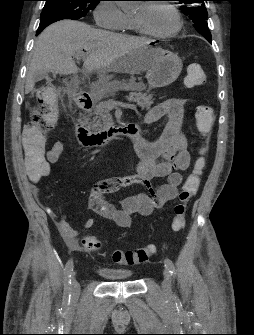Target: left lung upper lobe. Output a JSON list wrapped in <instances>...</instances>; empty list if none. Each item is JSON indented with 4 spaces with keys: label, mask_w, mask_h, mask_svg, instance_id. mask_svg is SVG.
Masks as SVG:
<instances>
[{
    "label": "left lung upper lobe",
    "mask_w": 254,
    "mask_h": 335,
    "mask_svg": "<svg viewBox=\"0 0 254 335\" xmlns=\"http://www.w3.org/2000/svg\"><path fill=\"white\" fill-rule=\"evenodd\" d=\"M184 4L180 7L181 11L193 22L196 30L207 40H211V33L208 28L207 10L203 1L205 0H177Z\"/></svg>",
    "instance_id": "1"
}]
</instances>
